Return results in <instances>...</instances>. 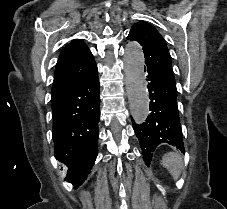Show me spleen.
<instances>
[{"mask_svg":"<svg viewBox=\"0 0 227 209\" xmlns=\"http://www.w3.org/2000/svg\"><path fill=\"white\" fill-rule=\"evenodd\" d=\"M161 165L169 171L175 181L179 179L182 173L183 163L178 153H167V155H164V157H162Z\"/></svg>","mask_w":227,"mask_h":209,"instance_id":"1","label":"spleen"}]
</instances>
